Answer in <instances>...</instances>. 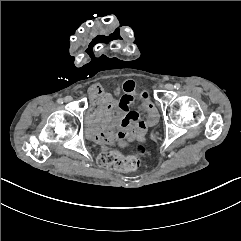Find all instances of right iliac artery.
Masks as SVG:
<instances>
[{
  "mask_svg": "<svg viewBox=\"0 0 241 241\" xmlns=\"http://www.w3.org/2000/svg\"><path fill=\"white\" fill-rule=\"evenodd\" d=\"M57 102H58L59 104H63V99L59 98V99L57 100Z\"/></svg>",
  "mask_w": 241,
  "mask_h": 241,
  "instance_id": "1",
  "label": "right iliac artery"
}]
</instances>
